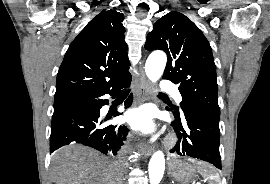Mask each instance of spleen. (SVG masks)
Listing matches in <instances>:
<instances>
[{"mask_svg": "<svg viewBox=\"0 0 270 184\" xmlns=\"http://www.w3.org/2000/svg\"><path fill=\"white\" fill-rule=\"evenodd\" d=\"M198 170L203 177L209 180V184H220V176L215 173L208 165L198 163Z\"/></svg>", "mask_w": 270, "mask_h": 184, "instance_id": "3e777b00", "label": "spleen"}]
</instances>
